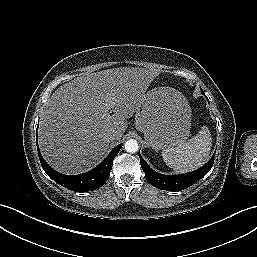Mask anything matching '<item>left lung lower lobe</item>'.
<instances>
[{
	"label": "left lung lower lobe",
	"mask_w": 257,
	"mask_h": 257,
	"mask_svg": "<svg viewBox=\"0 0 257 257\" xmlns=\"http://www.w3.org/2000/svg\"><path fill=\"white\" fill-rule=\"evenodd\" d=\"M202 94L205 95L204 92H202ZM214 158H215V154L201 168L193 172H189L181 175L159 174L154 170H152L142 157H140V163L145 173V177L151 185L161 190L177 192L188 188L189 186L193 185L198 180H200L202 177H204L212 168L214 163Z\"/></svg>",
	"instance_id": "0a47b994"
}]
</instances>
